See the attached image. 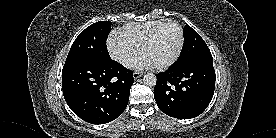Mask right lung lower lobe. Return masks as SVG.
<instances>
[{
	"label": "right lung lower lobe",
	"mask_w": 276,
	"mask_h": 138,
	"mask_svg": "<svg viewBox=\"0 0 276 138\" xmlns=\"http://www.w3.org/2000/svg\"><path fill=\"white\" fill-rule=\"evenodd\" d=\"M133 82V72L111 58L74 59L65 62L62 71L68 106L92 124L111 122L125 110Z\"/></svg>",
	"instance_id": "98d812e1"
}]
</instances>
